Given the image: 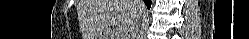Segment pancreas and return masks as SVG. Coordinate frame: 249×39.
I'll list each match as a JSON object with an SVG mask.
<instances>
[{
  "instance_id": "pancreas-1",
  "label": "pancreas",
  "mask_w": 249,
  "mask_h": 39,
  "mask_svg": "<svg viewBox=\"0 0 249 39\" xmlns=\"http://www.w3.org/2000/svg\"><path fill=\"white\" fill-rule=\"evenodd\" d=\"M112 36H114V37L117 36L116 38H117V39H120V37H118V35H116V34H114V33L112 34Z\"/></svg>"
}]
</instances>
